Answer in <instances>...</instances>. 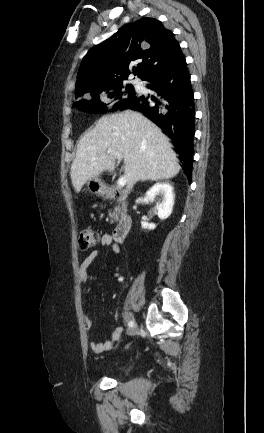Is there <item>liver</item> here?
<instances>
[{
    "label": "liver",
    "mask_w": 264,
    "mask_h": 433,
    "mask_svg": "<svg viewBox=\"0 0 264 433\" xmlns=\"http://www.w3.org/2000/svg\"><path fill=\"white\" fill-rule=\"evenodd\" d=\"M108 149L122 154L129 190L138 181L173 178L181 169L162 131L142 114L127 110L100 118L79 140L70 172L77 193L88 180L115 170Z\"/></svg>",
    "instance_id": "6515ba94"
}]
</instances>
